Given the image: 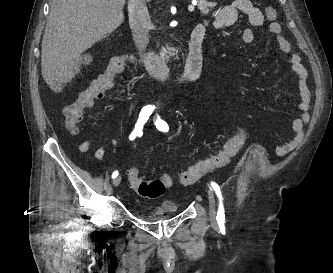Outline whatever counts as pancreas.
<instances>
[{
    "mask_svg": "<svg viewBox=\"0 0 333 273\" xmlns=\"http://www.w3.org/2000/svg\"><path fill=\"white\" fill-rule=\"evenodd\" d=\"M197 1H198V5H197L198 9L201 11V13L203 15H207L214 7L213 3L208 2L206 0H197ZM167 49H168V51L163 49L162 53L164 55H166V54L172 55V53L176 51L174 48H171V47H167Z\"/></svg>",
    "mask_w": 333,
    "mask_h": 273,
    "instance_id": "1",
    "label": "pancreas"
}]
</instances>
